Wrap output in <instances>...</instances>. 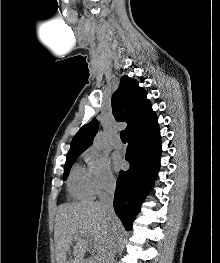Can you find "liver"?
<instances>
[{
	"label": "liver",
	"mask_w": 220,
	"mask_h": 263,
	"mask_svg": "<svg viewBox=\"0 0 220 263\" xmlns=\"http://www.w3.org/2000/svg\"><path fill=\"white\" fill-rule=\"evenodd\" d=\"M113 225L122 230L120 220L115 216L110 221L99 202L83 201L61 205L56 213L54 227L56 263H84L88 238L93 240L97 259L103 260Z\"/></svg>",
	"instance_id": "1"
}]
</instances>
